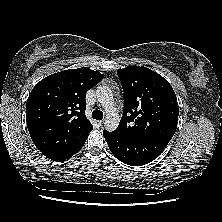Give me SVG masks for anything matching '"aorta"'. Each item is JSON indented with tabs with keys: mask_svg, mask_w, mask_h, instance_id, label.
Instances as JSON below:
<instances>
[{
	"mask_svg": "<svg viewBox=\"0 0 222 222\" xmlns=\"http://www.w3.org/2000/svg\"><path fill=\"white\" fill-rule=\"evenodd\" d=\"M96 96L106 113L105 129L108 131L116 130L119 125V114L114 105L112 90L107 86H99L96 90Z\"/></svg>",
	"mask_w": 222,
	"mask_h": 222,
	"instance_id": "1",
	"label": "aorta"
}]
</instances>
